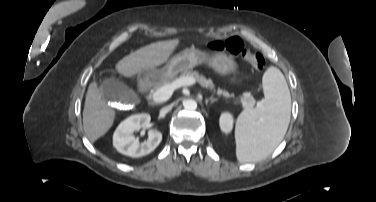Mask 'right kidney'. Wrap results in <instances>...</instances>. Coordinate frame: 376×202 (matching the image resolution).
I'll return each mask as SVG.
<instances>
[{
  "mask_svg": "<svg viewBox=\"0 0 376 202\" xmlns=\"http://www.w3.org/2000/svg\"><path fill=\"white\" fill-rule=\"evenodd\" d=\"M151 117L149 114H135L122 121L113 135V146L124 155L138 158L151 153L161 142V132L150 129L148 139L143 143L133 136L134 131L148 128Z\"/></svg>",
  "mask_w": 376,
  "mask_h": 202,
  "instance_id": "right-kidney-1",
  "label": "right kidney"
}]
</instances>
